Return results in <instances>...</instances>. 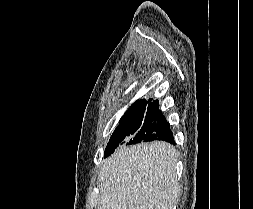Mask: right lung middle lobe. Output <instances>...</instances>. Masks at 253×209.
Returning <instances> with one entry per match:
<instances>
[{
  "mask_svg": "<svg viewBox=\"0 0 253 209\" xmlns=\"http://www.w3.org/2000/svg\"><path fill=\"white\" fill-rule=\"evenodd\" d=\"M158 110H143L131 116L122 117L113 132L104 152V157L112 154L120 145L140 143L145 132L152 130L157 122Z\"/></svg>",
  "mask_w": 253,
  "mask_h": 209,
  "instance_id": "dd1d6c3e",
  "label": "right lung middle lobe"
}]
</instances>
